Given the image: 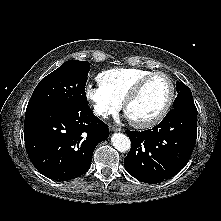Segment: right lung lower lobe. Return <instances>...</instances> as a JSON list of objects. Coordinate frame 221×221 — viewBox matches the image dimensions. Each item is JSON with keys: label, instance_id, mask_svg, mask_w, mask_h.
Listing matches in <instances>:
<instances>
[{"label": "right lung lower lobe", "instance_id": "right-lung-lower-lobe-1", "mask_svg": "<svg viewBox=\"0 0 221 221\" xmlns=\"http://www.w3.org/2000/svg\"><path fill=\"white\" fill-rule=\"evenodd\" d=\"M108 136V126L89 106L78 111L47 108L25 114L27 154L38 171L55 180L85 173L96 145Z\"/></svg>", "mask_w": 221, "mask_h": 221}]
</instances>
